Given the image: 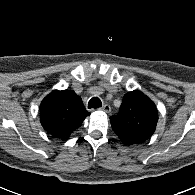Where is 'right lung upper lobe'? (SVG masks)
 <instances>
[{
    "label": "right lung upper lobe",
    "instance_id": "right-lung-upper-lobe-1",
    "mask_svg": "<svg viewBox=\"0 0 195 195\" xmlns=\"http://www.w3.org/2000/svg\"><path fill=\"white\" fill-rule=\"evenodd\" d=\"M90 113L74 91L55 90L40 104V121L53 137L67 139Z\"/></svg>",
    "mask_w": 195,
    "mask_h": 195
}]
</instances>
